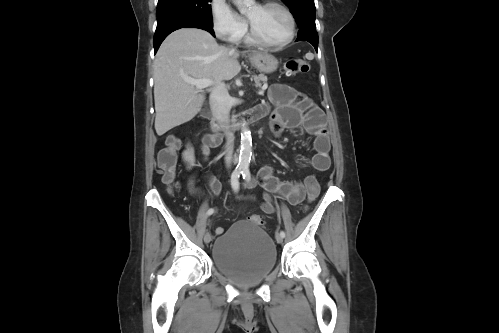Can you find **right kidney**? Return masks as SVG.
<instances>
[{
    "mask_svg": "<svg viewBox=\"0 0 499 333\" xmlns=\"http://www.w3.org/2000/svg\"><path fill=\"white\" fill-rule=\"evenodd\" d=\"M184 160L191 166L194 164V151L192 148L187 149L183 153Z\"/></svg>",
    "mask_w": 499,
    "mask_h": 333,
    "instance_id": "obj_1",
    "label": "right kidney"
}]
</instances>
